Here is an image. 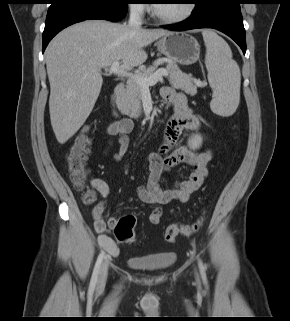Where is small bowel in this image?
I'll list each match as a JSON object with an SVG mask.
<instances>
[{
	"instance_id": "1",
	"label": "small bowel",
	"mask_w": 290,
	"mask_h": 321,
	"mask_svg": "<svg viewBox=\"0 0 290 321\" xmlns=\"http://www.w3.org/2000/svg\"><path fill=\"white\" fill-rule=\"evenodd\" d=\"M162 97L173 103L174 113L166 123L163 141L158 151L150 153L146 157L148 165V177L146 184L138 189L139 198L146 203L154 204L155 208L149 215L152 224H158L163 216L162 206L172 201L188 202L192 193L197 191L208 175V163L212 159L210 150L194 151L186 146L177 147L176 144L185 129L198 131L201 123L187 105V99L183 92H177L171 87L161 90ZM134 128L130 118H122L111 123L107 129L110 136H117L119 150L114 153L113 159L119 161L125 154L129 145V134ZM112 141L109 140L105 152H108ZM184 164L192 168L187 179L178 182L171 188H164L161 184L162 177L173 167ZM95 194L101 196V200L93 207V224L97 233L101 234L100 244L109 253L116 254L117 247L106 235L108 228L116 223L115 217L107 221L104 218L106 211V199L109 196V185L100 178L91 181Z\"/></svg>"
}]
</instances>
